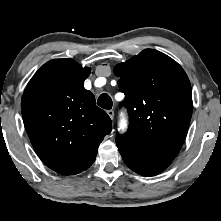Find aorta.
Segmentation results:
<instances>
[{
	"label": "aorta",
	"instance_id": "1",
	"mask_svg": "<svg viewBox=\"0 0 221 221\" xmlns=\"http://www.w3.org/2000/svg\"><path fill=\"white\" fill-rule=\"evenodd\" d=\"M126 121L125 120H122L121 122H120V124H119V126H120V129H122V130H124L125 128H126Z\"/></svg>",
	"mask_w": 221,
	"mask_h": 221
}]
</instances>
